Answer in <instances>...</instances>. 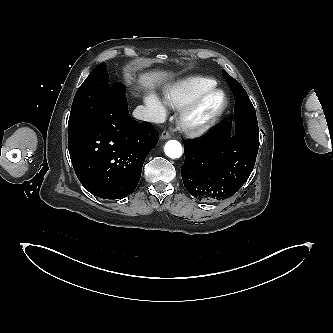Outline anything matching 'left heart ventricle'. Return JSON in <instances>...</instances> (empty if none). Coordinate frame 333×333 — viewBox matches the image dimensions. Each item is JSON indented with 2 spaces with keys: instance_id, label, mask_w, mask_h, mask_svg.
<instances>
[{
  "instance_id": "obj_1",
  "label": "left heart ventricle",
  "mask_w": 333,
  "mask_h": 333,
  "mask_svg": "<svg viewBox=\"0 0 333 333\" xmlns=\"http://www.w3.org/2000/svg\"><path fill=\"white\" fill-rule=\"evenodd\" d=\"M219 101V97L218 96H212L209 97L201 106V108L199 109V111L197 112L196 117L198 119L203 118L204 116H206L208 113H210L215 106L217 105Z\"/></svg>"
}]
</instances>
